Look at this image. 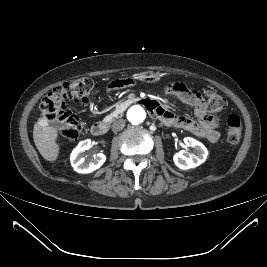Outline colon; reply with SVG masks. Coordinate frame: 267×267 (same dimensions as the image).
Returning a JSON list of instances; mask_svg holds the SVG:
<instances>
[{
  "label": "colon",
  "mask_w": 267,
  "mask_h": 267,
  "mask_svg": "<svg viewBox=\"0 0 267 267\" xmlns=\"http://www.w3.org/2000/svg\"><path fill=\"white\" fill-rule=\"evenodd\" d=\"M95 83L89 78H79L54 87L41 100L40 111L42 118L48 122L61 124V138L64 141H75L80 135V123L78 117L69 109L70 102L86 100ZM207 108L213 115L219 114L226 107L225 98L215 89H208ZM227 140L235 144L242 134V123L237 115H230L226 120Z\"/></svg>",
  "instance_id": "5ec220e1"
}]
</instances>
